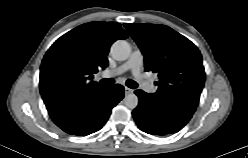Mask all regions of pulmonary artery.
Wrapping results in <instances>:
<instances>
[{"mask_svg": "<svg viewBox=\"0 0 248 158\" xmlns=\"http://www.w3.org/2000/svg\"><path fill=\"white\" fill-rule=\"evenodd\" d=\"M143 62H144V57L141 51L134 50L130 58L125 63L117 67L115 70H112L111 74L113 75L122 74L130 70L132 71L135 79L140 83L142 89H144L147 92H153L154 91L153 85L150 84L145 78V76L142 74Z\"/></svg>", "mask_w": 248, "mask_h": 158, "instance_id": "pulmonary-artery-1", "label": "pulmonary artery"}]
</instances>
